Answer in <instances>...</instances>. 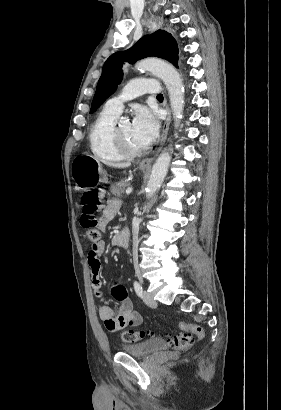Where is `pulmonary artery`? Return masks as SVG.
<instances>
[{
	"mask_svg": "<svg viewBox=\"0 0 281 410\" xmlns=\"http://www.w3.org/2000/svg\"><path fill=\"white\" fill-rule=\"evenodd\" d=\"M161 91L160 86L154 80L138 78L128 82L122 92L109 99L106 106L116 112H121L125 101L131 100L143 93L157 94Z\"/></svg>",
	"mask_w": 281,
	"mask_h": 410,
	"instance_id": "pulmonary-artery-1",
	"label": "pulmonary artery"
}]
</instances>
